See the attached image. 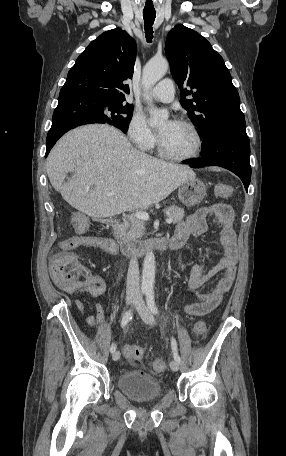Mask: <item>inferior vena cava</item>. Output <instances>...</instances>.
Returning a JSON list of instances; mask_svg holds the SVG:
<instances>
[{
  "label": "inferior vena cava",
  "instance_id": "1",
  "mask_svg": "<svg viewBox=\"0 0 286 456\" xmlns=\"http://www.w3.org/2000/svg\"><path fill=\"white\" fill-rule=\"evenodd\" d=\"M140 275H139V265L135 255L131 256L129 262V268L127 273L126 281V294L127 296H140V287H139Z\"/></svg>",
  "mask_w": 286,
  "mask_h": 456
}]
</instances>
